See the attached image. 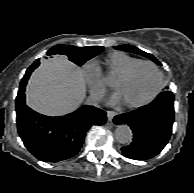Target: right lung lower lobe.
<instances>
[{
    "instance_id": "98d812e1",
    "label": "right lung lower lobe",
    "mask_w": 194,
    "mask_h": 193,
    "mask_svg": "<svg viewBox=\"0 0 194 193\" xmlns=\"http://www.w3.org/2000/svg\"><path fill=\"white\" fill-rule=\"evenodd\" d=\"M25 86L20 85L16 98L17 129L26 148L41 161L58 162L75 156L86 131L106 122L105 111L86 105L65 116L41 115L25 104Z\"/></svg>"
}]
</instances>
